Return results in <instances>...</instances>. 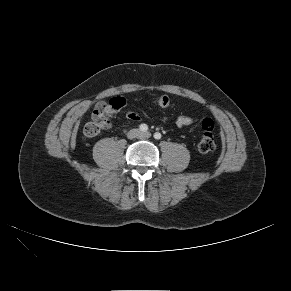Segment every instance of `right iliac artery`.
<instances>
[{"mask_svg": "<svg viewBox=\"0 0 291 291\" xmlns=\"http://www.w3.org/2000/svg\"><path fill=\"white\" fill-rule=\"evenodd\" d=\"M139 129L142 131V132H146L148 130V126L146 124H141L139 126Z\"/></svg>", "mask_w": 291, "mask_h": 291, "instance_id": "82829eb1", "label": "right iliac artery"}]
</instances>
